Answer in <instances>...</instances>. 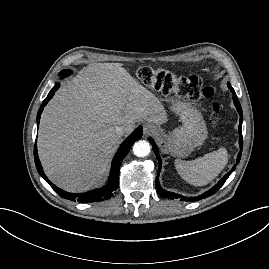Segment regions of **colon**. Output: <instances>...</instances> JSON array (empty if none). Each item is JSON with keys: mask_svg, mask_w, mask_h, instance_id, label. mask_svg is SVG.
Returning a JSON list of instances; mask_svg holds the SVG:
<instances>
[{"mask_svg": "<svg viewBox=\"0 0 269 269\" xmlns=\"http://www.w3.org/2000/svg\"><path fill=\"white\" fill-rule=\"evenodd\" d=\"M138 78L148 87L166 92H175L179 96L190 99L200 97L213 98L216 89L213 85L204 86L201 78L195 75L177 77L172 72L165 69H153L150 67H141L137 71ZM213 124L217 125L220 121L222 106L214 101L211 106Z\"/></svg>", "mask_w": 269, "mask_h": 269, "instance_id": "5ec220e1", "label": "colon"}]
</instances>
